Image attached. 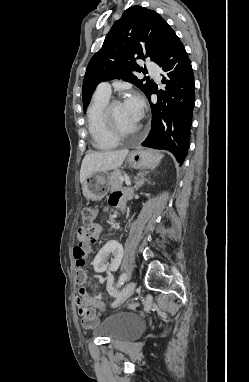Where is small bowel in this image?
<instances>
[{
  "instance_id": "1",
  "label": "small bowel",
  "mask_w": 249,
  "mask_h": 382,
  "mask_svg": "<svg viewBox=\"0 0 249 382\" xmlns=\"http://www.w3.org/2000/svg\"><path fill=\"white\" fill-rule=\"evenodd\" d=\"M127 200L126 193L123 191L113 192L108 200L110 207H117L124 204ZM99 235V227H80L77 232V240L75 243L76 248H89L90 244L94 242ZM94 267V266H93ZM106 280L102 279L101 282ZM77 282V281H76ZM83 285L85 282H77ZM108 288H112V283H107ZM76 303L79 305V314L82 317V326L85 329L96 328L99 322L97 310L104 308L100 300L94 299L89 295H84L77 298Z\"/></svg>"
}]
</instances>
